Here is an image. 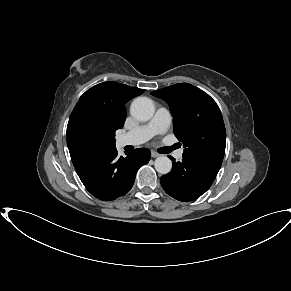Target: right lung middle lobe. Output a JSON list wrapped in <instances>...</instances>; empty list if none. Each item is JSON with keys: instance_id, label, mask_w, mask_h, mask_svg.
<instances>
[{"instance_id": "1", "label": "right lung middle lobe", "mask_w": 291, "mask_h": 291, "mask_svg": "<svg viewBox=\"0 0 291 291\" xmlns=\"http://www.w3.org/2000/svg\"><path fill=\"white\" fill-rule=\"evenodd\" d=\"M91 141L100 146H115L114 135L108 134L97 122L80 118L68 122L67 140Z\"/></svg>"}]
</instances>
